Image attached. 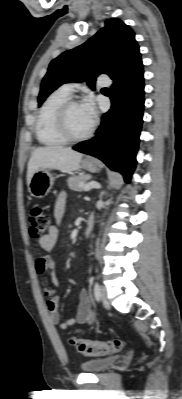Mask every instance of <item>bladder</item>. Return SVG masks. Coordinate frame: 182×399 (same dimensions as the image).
Segmentation results:
<instances>
[{"mask_svg": "<svg viewBox=\"0 0 182 399\" xmlns=\"http://www.w3.org/2000/svg\"><path fill=\"white\" fill-rule=\"evenodd\" d=\"M116 361L115 356L84 361L81 368L88 373L102 372Z\"/></svg>", "mask_w": 182, "mask_h": 399, "instance_id": "bladder-1", "label": "bladder"}]
</instances>
